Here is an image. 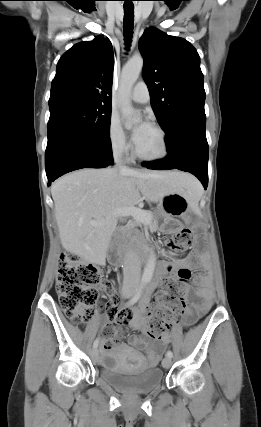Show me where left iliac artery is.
<instances>
[{"label":"left iliac artery","instance_id":"44dca946","mask_svg":"<svg viewBox=\"0 0 261 427\" xmlns=\"http://www.w3.org/2000/svg\"><path fill=\"white\" fill-rule=\"evenodd\" d=\"M148 290H149V288H148ZM169 358H172L173 357V353H172V351H170V350H168L167 351V354H166Z\"/></svg>","mask_w":261,"mask_h":427}]
</instances>
